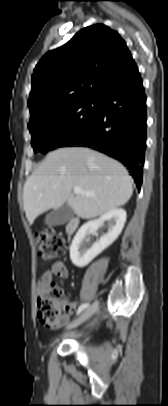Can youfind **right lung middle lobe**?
<instances>
[{
  "instance_id": "right-lung-middle-lobe-1",
  "label": "right lung middle lobe",
  "mask_w": 168,
  "mask_h": 406,
  "mask_svg": "<svg viewBox=\"0 0 168 406\" xmlns=\"http://www.w3.org/2000/svg\"><path fill=\"white\" fill-rule=\"evenodd\" d=\"M91 103L94 104L91 107ZM98 111L97 99L83 100L53 115L28 124L34 151L46 153L63 147L70 139L83 132Z\"/></svg>"
}]
</instances>
